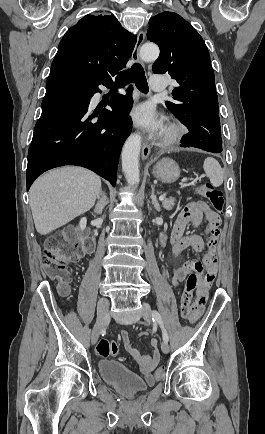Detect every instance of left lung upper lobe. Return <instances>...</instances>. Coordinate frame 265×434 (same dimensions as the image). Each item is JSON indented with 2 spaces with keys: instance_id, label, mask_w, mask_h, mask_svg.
Returning <instances> with one entry per match:
<instances>
[{
  "instance_id": "5c2ea615",
  "label": "left lung upper lobe",
  "mask_w": 265,
  "mask_h": 434,
  "mask_svg": "<svg viewBox=\"0 0 265 434\" xmlns=\"http://www.w3.org/2000/svg\"><path fill=\"white\" fill-rule=\"evenodd\" d=\"M147 38L160 48L153 72L168 73L177 82L175 102L166 101L167 108L188 130L221 134L214 72L199 33L180 15L165 11L150 18Z\"/></svg>"
}]
</instances>
